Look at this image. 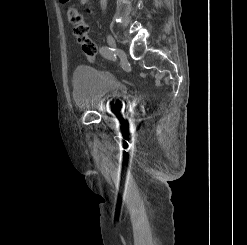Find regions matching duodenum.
Segmentation results:
<instances>
[{
	"label": "duodenum",
	"mask_w": 247,
	"mask_h": 245,
	"mask_svg": "<svg viewBox=\"0 0 247 245\" xmlns=\"http://www.w3.org/2000/svg\"><path fill=\"white\" fill-rule=\"evenodd\" d=\"M82 3H85V2H87L88 0H80Z\"/></svg>",
	"instance_id": "obj_1"
}]
</instances>
